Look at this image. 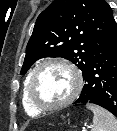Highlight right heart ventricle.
Wrapping results in <instances>:
<instances>
[{"label":"right heart ventricle","instance_id":"obj_1","mask_svg":"<svg viewBox=\"0 0 117 131\" xmlns=\"http://www.w3.org/2000/svg\"><path fill=\"white\" fill-rule=\"evenodd\" d=\"M31 73L27 75L23 82V87H22V94H21V100H22V105L25 110V112L30 115V116H37L41 113L40 110L36 109L33 104L31 103L29 96H28V81Z\"/></svg>","mask_w":117,"mask_h":131}]
</instances>
